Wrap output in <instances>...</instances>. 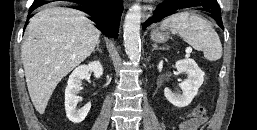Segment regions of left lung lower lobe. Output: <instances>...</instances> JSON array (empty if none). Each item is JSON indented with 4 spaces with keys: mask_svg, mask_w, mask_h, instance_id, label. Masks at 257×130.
I'll return each instance as SVG.
<instances>
[{
    "mask_svg": "<svg viewBox=\"0 0 257 130\" xmlns=\"http://www.w3.org/2000/svg\"><path fill=\"white\" fill-rule=\"evenodd\" d=\"M197 6L201 7V10L208 12L209 16L216 20L218 25L224 30L217 0H165L157 6L153 16L144 22L143 28L174 14L179 9Z\"/></svg>",
    "mask_w": 257,
    "mask_h": 130,
    "instance_id": "obj_1",
    "label": "left lung lower lobe"
}]
</instances>
